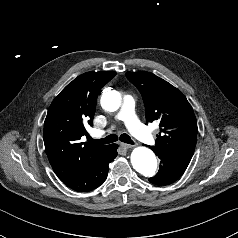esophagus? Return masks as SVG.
<instances>
[{"label": "esophagus", "mask_w": 238, "mask_h": 238, "mask_svg": "<svg viewBox=\"0 0 238 238\" xmlns=\"http://www.w3.org/2000/svg\"><path fill=\"white\" fill-rule=\"evenodd\" d=\"M120 146H121L123 149H130V148H133V147H134L133 145L126 144V143H121Z\"/></svg>", "instance_id": "1"}]
</instances>
